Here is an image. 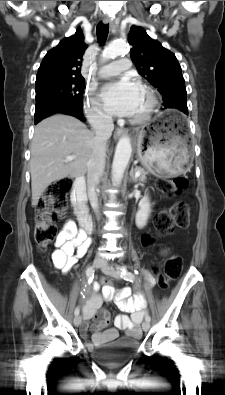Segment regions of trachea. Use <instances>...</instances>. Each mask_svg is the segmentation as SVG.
I'll return each instance as SVG.
<instances>
[{"label": "trachea", "instance_id": "trachea-1", "mask_svg": "<svg viewBox=\"0 0 225 395\" xmlns=\"http://www.w3.org/2000/svg\"><path fill=\"white\" fill-rule=\"evenodd\" d=\"M109 31V24L98 23L96 27L97 37L100 43H104Z\"/></svg>", "mask_w": 225, "mask_h": 395}]
</instances>
